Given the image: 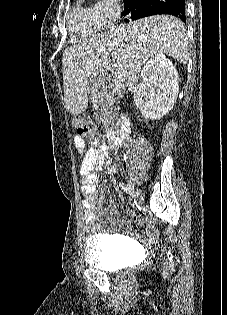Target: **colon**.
I'll return each mask as SVG.
<instances>
[{"instance_id": "obj_1", "label": "colon", "mask_w": 227, "mask_h": 315, "mask_svg": "<svg viewBox=\"0 0 227 315\" xmlns=\"http://www.w3.org/2000/svg\"><path fill=\"white\" fill-rule=\"evenodd\" d=\"M72 123L79 136H84L92 139L93 144L98 141L99 135L94 124L91 121L82 116H75Z\"/></svg>"}]
</instances>
